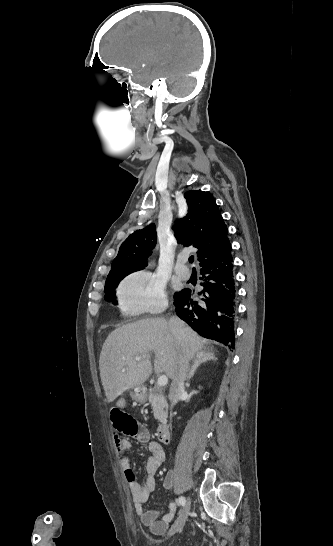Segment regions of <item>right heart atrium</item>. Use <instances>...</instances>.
<instances>
[{"label":"right heart atrium","instance_id":"right-heart-atrium-1","mask_svg":"<svg viewBox=\"0 0 333 546\" xmlns=\"http://www.w3.org/2000/svg\"><path fill=\"white\" fill-rule=\"evenodd\" d=\"M118 309L123 317L157 315L167 307L164 285L145 271L125 277L117 288Z\"/></svg>","mask_w":333,"mask_h":546}]
</instances>
